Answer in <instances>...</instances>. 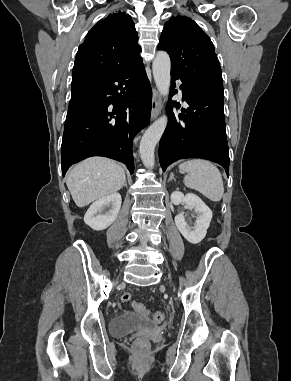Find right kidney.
I'll list each match as a JSON object with an SVG mask.
<instances>
[{
	"instance_id": "ca27d5eb",
	"label": "right kidney",
	"mask_w": 291,
	"mask_h": 381,
	"mask_svg": "<svg viewBox=\"0 0 291 381\" xmlns=\"http://www.w3.org/2000/svg\"><path fill=\"white\" fill-rule=\"evenodd\" d=\"M121 202L119 193H112L96 200L84 215L85 224L96 231L108 228L116 220Z\"/></svg>"
}]
</instances>
